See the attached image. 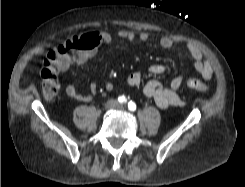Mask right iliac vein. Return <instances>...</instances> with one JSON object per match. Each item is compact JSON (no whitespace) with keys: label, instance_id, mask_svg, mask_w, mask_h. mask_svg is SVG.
<instances>
[{"label":"right iliac vein","instance_id":"63e3f726","mask_svg":"<svg viewBox=\"0 0 245 187\" xmlns=\"http://www.w3.org/2000/svg\"><path fill=\"white\" fill-rule=\"evenodd\" d=\"M116 106H117V102L116 101L109 100V101H107L105 103L104 108H105V110H111V109L116 108Z\"/></svg>","mask_w":245,"mask_h":187}]
</instances>
